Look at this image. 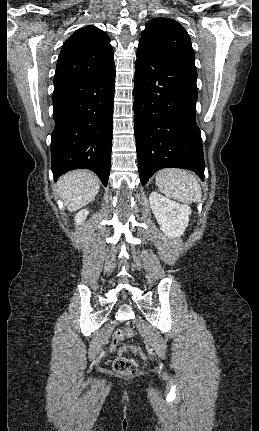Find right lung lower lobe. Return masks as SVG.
Returning <instances> with one entry per match:
<instances>
[{
  "mask_svg": "<svg viewBox=\"0 0 259 431\" xmlns=\"http://www.w3.org/2000/svg\"><path fill=\"white\" fill-rule=\"evenodd\" d=\"M115 66L54 83L51 169L57 180L73 169L94 171L108 183L112 149Z\"/></svg>",
  "mask_w": 259,
  "mask_h": 431,
  "instance_id": "98d812e1",
  "label": "right lung lower lobe"
}]
</instances>
